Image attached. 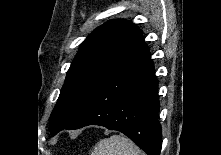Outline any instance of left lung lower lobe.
I'll list each match as a JSON object with an SVG mask.
<instances>
[{"mask_svg": "<svg viewBox=\"0 0 221 155\" xmlns=\"http://www.w3.org/2000/svg\"><path fill=\"white\" fill-rule=\"evenodd\" d=\"M157 95L158 81L145 45L101 83L64 129L104 126L122 132L148 155H160L162 130L157 120Z\"/></svg>", "mask_w": 221, "mask_h": 155, "instance_id": "left-lung-lower-lobe-1", "label": "left lung lower lobe"}]
</instances>
